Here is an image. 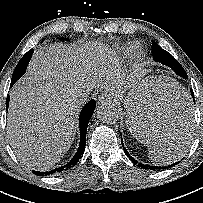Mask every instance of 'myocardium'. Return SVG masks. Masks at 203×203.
Instances as JSON below:
<instances>
[{
    "label": "myocardium",
    "mask_w": 203,
    "mask_h": 203,
    "mask_svg": "<svg viewBox=\"0 0 203 203\" xmlns=\"http://www.w3.org/2000/svg\"><path fill=\"white\" fill-rule=\"evenodd\" d=\"M141 52L139 51V49H137V47L134 48L133 50V57L134 59H137L140 57Z\"/></svg>",
    "instance_id": "1"
}]
</instances>
